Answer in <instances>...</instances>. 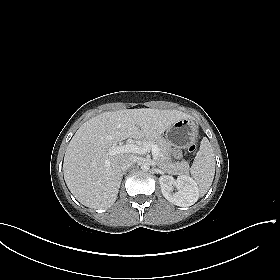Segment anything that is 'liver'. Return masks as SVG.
Masks as SVG:
<instances>
[{
  "mask_svg": "<svg viewBox=\"0 0 280 280\" xmlns=\"http://www.w3.org/2000/svg\"><path fill=\"white\" fill-rule=\"evenodd\" d=\"M186 118L191 116L178 110L141 108L104 112L89 119L77 130L65 152L63 173L69 190L86 207H111L122 180L120 160L124 154L109 155V150L127 138L159 137Z\"/></svg>",
  "mask_w": 280,
  "mask_h": 280,
  "instance_id": "1",
  "label": "liver"
}]
</instances>
